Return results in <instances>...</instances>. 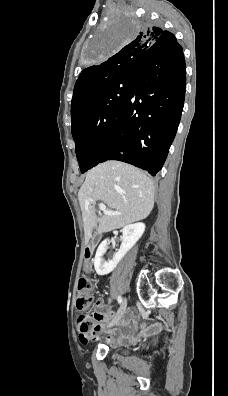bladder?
<instances>
[{
    "label": "bladder",
    "instance_id": "bladder-1",
    "mask_svg": "<svg viewBox=\"0 0 228 396\" xmlns=\"http://www.w3.org/2000/svg\"><path fill=\"white\" fill-rule=\"evenodd\" d=\"M118 352H119L120 354L125 355V354L128 353V350H127V349H119Z\"/></svg>",
    "mask_w": 228,
    "mask_h": 396
}]
</instances>
